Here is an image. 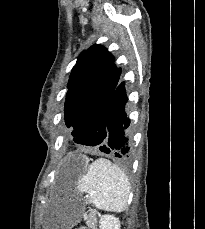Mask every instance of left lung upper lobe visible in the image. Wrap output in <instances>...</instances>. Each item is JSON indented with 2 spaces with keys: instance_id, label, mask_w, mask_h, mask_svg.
Returning <instances> with one entry per match:
<instances>
[{
  "instance_id": "5c2ea615",
  "label": "left lung upper lobe",
  "mask_w": 205,
  "mask_h": 229,
  "mask_svg": "<svg viewBox=\"0 0 205 229\" xmlns=\"http://www.w3.org/2000/svg\"><path fill=\"white\" fill-rule=\"evenodd\" d=\"M120 75L113 56L101 45L95 44L79 55L64 104L65 123L72 129L75 143L97 145L90 135L104 124L108 102Z\"/></svg>"
}]
</instances>
